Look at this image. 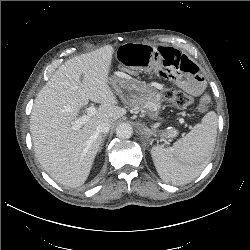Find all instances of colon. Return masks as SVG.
Instances as JSON below:
<instances>
[{
    "instance_id": "5ec220e1",
    "label": "colon",
    "mask_w": 250,
    "mask_h": 250,
    "mask_svg": "<svg viewBox=\"0 0 250 250\" xmlns=\"http://www.w3.org/2000/svg\"><path fill=\"white\" fill-rule=\"evenodd\" d=\"M163 96L167 102L178 108H188L194 104L193 97L181 90L167 88L164 90ZM211 103V95L206 92L198 99L196 109L198 112H204L210 108Z\"/></svg>"
}]
</instances>
